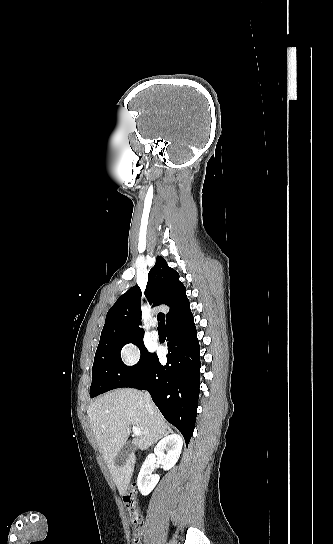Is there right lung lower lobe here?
Masks as SVG:
<instances>
[{
    "label": "right lung lower lobe",
    "mask_w": 333,
    "mask_h": 544,
    "mask_svg": "<svg viewBox=\"0 0 333 544\" xmlns=\"http://www.w3.org/2000/svg\"><path fill=\"white\" fill-rule=\"evenodd\" d=\"M167 364L152 354L141 377L128 387L148 390L165 419L188 445L195 427L200 387V346L192 313L167 324Z\"/></svg>",
    "instance_id": "98d812e1"
}]
</instances>
